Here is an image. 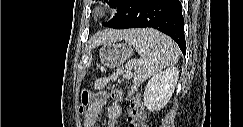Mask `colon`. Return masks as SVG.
<instances>
[{"instance_id": "5ec220e1", "label": "colon", "mask_w": 243, "mask_h": 127, "mask_svg": "<svg viewBox=\"0 0 243 127\" xmlns=\"http://www.w3.org/2000/svg\"><path fill=\"white\" fill-rule=\"evenodd\" d=\"M110 97L119 101L123 97V93L119 89H115L110 93ZM107 98L105 95H94L86 89H83L81 92V106L80 111L82 112L84 107L95 102L101 101L102 99ZM126 125L128 127H146L144 120V110L141 105L134 99H131L129 102V108L127 112Z\"/></svg>"}]
</instances>
